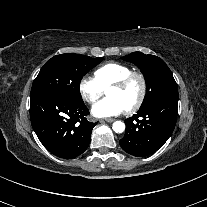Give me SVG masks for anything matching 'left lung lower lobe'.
I'll return each mask as SVG.
<instances>
[{
  "label": "left lung lower lobe",
  "instance_id": "0a47b994",
  "mask_svg": "<svg viewBox=\"0 0 207 207\" xmlns=\"http://www.w3.org/2000/svg\"><path fill=\"white\" fill-rule=\"evenodd\" d=\"M177 105L178 97H163L126 119L125 135L119 141L123 150L143 157L160 149L174 130Z\"/></svg>",
  "mask_w": 207,
  "mask_h": 207
}]
</instances>
